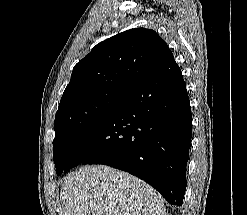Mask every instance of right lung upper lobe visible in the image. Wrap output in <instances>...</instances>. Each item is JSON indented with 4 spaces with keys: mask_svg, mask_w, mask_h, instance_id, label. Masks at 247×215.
Here are the masks:
<instances>
[{
    "mask_svg": "<svg viewBox=\"0 0 247 215\" xmlns=\"http://www.w3.org/2000/svg\"><path fill=\"white\" fill-rule=\"evenodd\" d=\"M153 30L135 28L97 44L78 62L63 96L73 91L118 89L133 92L172 56Z\"/></svg>",
    "mask_w": 247,
    "mask_h": 215,
    "instance_id": "cb5924a9",
    "label": "right lung upper lobe"
}]
</instances>
